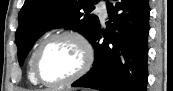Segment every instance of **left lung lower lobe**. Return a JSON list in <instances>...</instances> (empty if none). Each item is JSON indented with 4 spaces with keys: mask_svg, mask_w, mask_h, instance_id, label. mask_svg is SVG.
Here are the masks:
<instances>
[{
    "mask_svg": "<svg viewBox=\"0 0 173 91\" xmlns=\"http://www.w3.org/2000/svg\"><path fill=\"white\" fill-rule=\"evenodd\" d=\"M110 25H100L90 43L95 49L92 69L73 87L101 91H146L148 78V0H113L107 3ZM104 37L103 41L100 39Z\"/></svg>",
    "mask_w": 173,
    "mask_h": 91,
    "instance_id": "left-lung-lower-lobe-1",
    "label": "left lung lower lobe"
}]
</instances>
